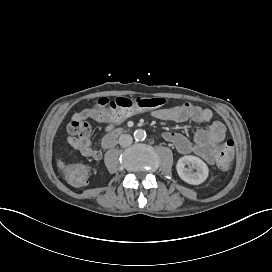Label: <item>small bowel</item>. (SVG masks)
Listing matches in <instances>:
<instances>
[{
  "label": "small bowel",
  "instance_id": "small-bowel-1",
  "mask_svg": "<svg viewBox=\"0 0 272 272\" xmlns=\"http://www.w3.org/2000/svg\"><path fill=\"white\" fill-rule=\"evenodd\" d=\"M91 108L92 113L90 115V119H94L99 122L105 121L106 114L102 109L96 107ZM135 113L137 112L132 114ZM151 114L155 118L162 121L175 123L191 121L197 124L199 127L194 134L193 142L190 141L185 135L178 132H166L164 133V138L174 146L178 153L182 155L194 153L205 160L208 164H215V148L217 145H213L209 141V136L213 132H218L222 136L223 141L226 128L222 122L212 121L213 113L211 109L203 108L187 102L178 106L158 108L152 110ZM207 123H209V125H205ZM78 151L82 156L95 161L102 158V152L92 147L91 144L84 145L83 147L79 148Z\"/></svg>",
  "mask_w": 272,
  "mask_h": 272
}]
</instances>
